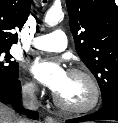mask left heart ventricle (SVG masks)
I'll list each match as a JSON object with an SVG mask.
<instances>
[{"label":"left heart ventricle","mask_w":118,"mask_h":123,"mask_svg":"<svg viewBox=\"0 0 118 123\" xmlns=\"http://www.w3.org/2000/svg\"><path fill=\"white\" fill-rule=\"evenodd\" d=\"M56 94L63 102L73 106H80L90 100L91 89L82 76L68 73L66 83Z\"/></svg>","instance_id":"obj_1"}]
</instances>
